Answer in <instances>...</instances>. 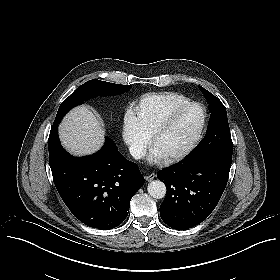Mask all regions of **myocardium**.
<instances>
[{"instance_id":"1","label":"myocardium","mask_w":280,"mask_h":280,"mask_svg":"<svg viewBox=\"0 0 280 280\" xmlns=\"http://www.w3.org/2000/svg\"><path fill=\"white\" fill-rule=\"evenodd\" d=\"M193 106V104H188V108ZM203 121H204V115H203V110L200 109V120L198 122V125L196 126L195 130L193 131V133L188 137V139L185 141V143L182 145V147L170 154L168 156V158L170 160H177L178 158H180L181 156H183L187 150L189 149L190 145L193 143V141L199 136L201 130H202V127H203ZM164 128H161L159 131H157L153 136L152 138L150 139V147L151 148H154L155 145H156V141L161 133V131L163 130Z\"/></svg>"}]
</instances>
